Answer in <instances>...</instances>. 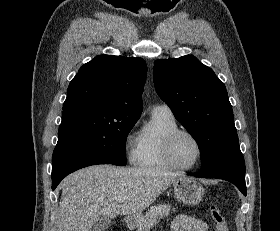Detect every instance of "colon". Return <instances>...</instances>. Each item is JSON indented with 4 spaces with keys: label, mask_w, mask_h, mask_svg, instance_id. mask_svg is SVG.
Masks as SVG:
<instances>
[{
    "label": "colon",
    "mask_w": 280,
    "mask_h": 231,
    "mask_svg": "<svg viewBox=\"0 0 280 231\" xmlns=\"http://www.w3.org/2000/svg\"><path fill=\"white\" fill-rule=\"evenodd\" d=\"M210 213L215 223L216 231H229L227 222L217 206L210 205Z\"/></svg>",
    "instance_id": "obj_1"
}]
</instances>
